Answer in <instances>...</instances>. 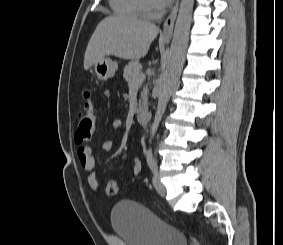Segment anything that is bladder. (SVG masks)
Listing matches in <instances>:
<instances>
[{
    "label": "bladder",
    "mask_w": 283,
    "mask_h": 245,
    "mask_svg": "<svg viewBox=\"0 0 283 245\" xmlns=\"http://www.w3.org/2000/svg\"><path fill=\"white\" fill-rule=\"evenodd\" d=\"M111 223L126 245H188L183 232L135 201L116 203L111 211Z\"/></svg>",
    "instance_id": "1"
}]
</instances>
